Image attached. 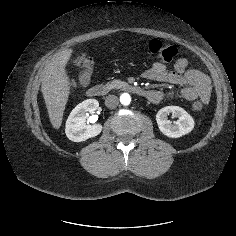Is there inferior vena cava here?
<instances>
[{
	"instance_id": "1",
	"label": "inferior vena cava",
	"mask_w": 236,
	"mask_h": 236,
	"mask_svg": "<svg viewBox=\"0 0 236 236\" xmlns=\"http://www.w3.org/2000/svg\"><path fill=\"white\" fill-rule=\"evenodd\" d=\"M118 104H119V100H118L117 96H115V95H109L105 99V105L109 109L116 108L118 106Z\"/></svg>"
}]
</instances>
